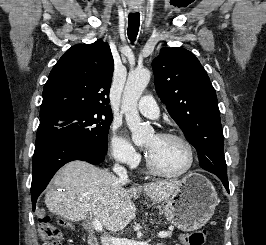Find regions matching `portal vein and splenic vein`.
<instances>
[{
    "label": "portal vein and splenic vein",
    "instance_id": "1",
    "mask_svg": "<svg viewBox=\"0 0 266 245\" xmlns=\"http://www.w3.org/2000/svg\"><path fill=\"white\" fill-rule=\"evenodd\" d=\"M93 227L95 229V231H103V227L101 225V223H99V221H97V219H93ZM170 233H164V231H161V233H158V237H169Z\"/></svg>",
    "mask_w": 266,
    "mask_h": 245
}]
</instances>
